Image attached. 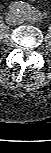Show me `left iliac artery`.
I'll return each instance as SVG.
<instances>
[{
	"label": "left iliac artery",
	"instance_id": "1",
	"mask_svg": "<svg viewBox=\"0 0 51 153\" xmlns=\"http://www.w3.org/2000/svg\"><path fill=\"white\" fill-rule=\"evenodd\" d=\"M27 17L30 20H35L37 17V11L33 7H29V10L27 12Z\"/></svg>",
	"mask_w": 51,
	"mask_h": 153
}]
</instances>
